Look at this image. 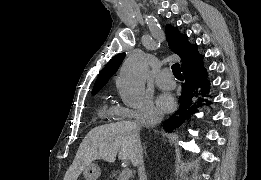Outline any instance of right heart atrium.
<instances>
[{
    "instance_id": "right-heart-atrium-1",
    "label": "right heart atrium",
    "mask_w": 261,
    "mask_h": 180,
    "mask_svg": "<svg viewBox=\"0 0 261 180\" xmlns=\"http://www.w3.org/2000/svg\"><path fill=\"white\" fill-rule=\"evenodd\" d=\"M153 106L151 103V99L145 98V105H140L139 109H130L125 108L118 112L117 119L125 120V117H137V120H144L146 116L153 112ZM116 127H120V125H116ZM138 127H144V125H138Z\"/></svg>"
}]
</instances>
